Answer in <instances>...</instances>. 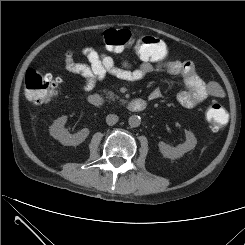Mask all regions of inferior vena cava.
Wrapping results in <instances>:
<instances>
[{
    "instance_id": "inferior-vena-cava-1",
    "label": "inferior vena cava",
    "mask_w": 245,
    "mask_h": 245,
    "mask_svg": "<svg viewBox=\"0 0 245 245\" xmlns=\"http://www.w3.org/2000/svg\"><path fill=\"white\" fill-rule=\"evenodd\" d=\"M118 116L115 115V114H109L107 115L106 117V123L109 125V126H112V125H115L117 122H118Z\"/></svg>"
}]
</instances>
